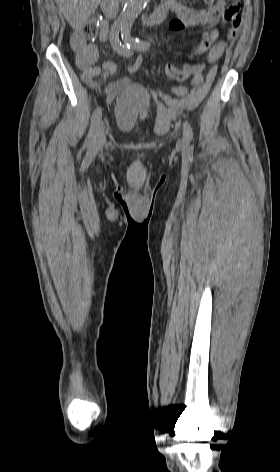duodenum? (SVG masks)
<instances>
[{
	"label": "duodenum",
	"mask_w": 280,
	"mask_h": 472,
	"mask_svg": "<svg viewBox=\"0 0 280 472\" xmlns=\"http://www.w3.org/2000/svg\"><path fill=\"white\" fill-rule=\"evenodd\" d=\"M101 8L103 13L113 19L118 11V0H102ZM168 14V9L162 4L158 6L146 19V25H156L163 22Z\"/></svg>",
	"instance_id": "1"
}]
</instances>
